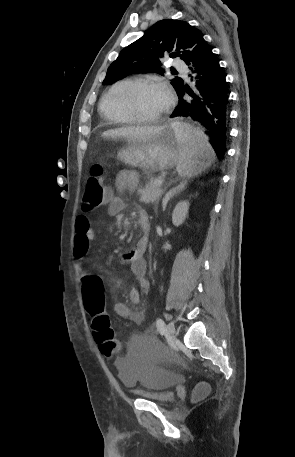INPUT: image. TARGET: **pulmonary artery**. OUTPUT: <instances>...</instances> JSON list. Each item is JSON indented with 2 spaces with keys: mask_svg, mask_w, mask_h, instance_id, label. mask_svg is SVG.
Segmentation results:
<instances>
[{
  "mask_svg": "<svg viewBox=\"0 0 295 457\" xmlns=\"http://www.w3.org/2000/svg\"><path fill=\"white\" fill-rule=\"evenodd\" d=\"M173 66H174L178 71H180L184 76H186V72H187L186 66H185V64H184L181 60L175 59V60L173 61Z\"/></svg>",
  "mask_w": 295,
  "mask_h": 457,
  "instance_id": "pulmonary-artery-1",
  "label": "pulmonary artery"
}]
</instances>
